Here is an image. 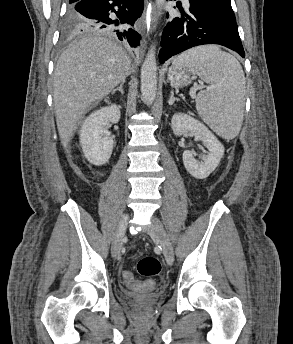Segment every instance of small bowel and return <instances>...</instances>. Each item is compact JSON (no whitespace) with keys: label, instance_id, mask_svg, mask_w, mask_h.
<instances>
[{"label":"small bowel","instance_id":"small-bowel-1","mask_svg":"<svg viewBox=\"0 0 293 344\" xmlns=\"http://www.w3.org/2000/svg\"><path fill=\"white\" fill-rule=\"evenodd\" d=\"M130 288H132L135 291H139V292H143L144 291L143 288H142L141 283H137V286H130Z\"/></svg>","mask_w":293,"mask_h":344}]
</instances>
